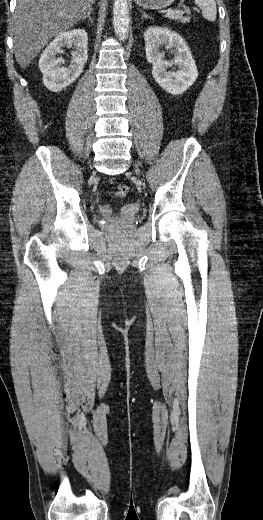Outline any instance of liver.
<instances>
[{
    "mask_svg": "<svg viewBox=\"0 0 263 520\" xmlns=\"http://www.w3.org/2000/svg\"><path fill=\"white\" fill-rule=\"evenodd\" d=\"M95 0H17L13 16L14 53L29 66L49 40L80 21Z\"/></svg>",
    "mask_w": 263,
    "mask_h": 520,
    "instance_id": "6515ba94",
    "label": "liver"
}]
</instances>
